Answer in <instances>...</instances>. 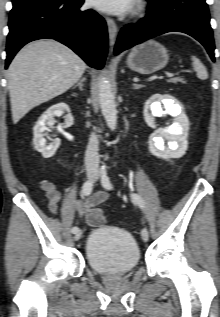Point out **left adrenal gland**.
I'll return each mask as SVG.
<instances>
[{
  "instance_id": "obj_1",
  "label": "left adrenal gland",
  "mask_w": 220,
  "mask_h": 317,
  "mask_svg": "<svg viewBox=\"0 0 220 317\" xmlns=\"http://www.w3.org/2000/svg\"><path fill=\"white\" fill-rule=\"evenodd\" d=\"M141 85H139V84H135V83H133V87L136 89V88H139Z\"/></svg>"
}]
</instances>
